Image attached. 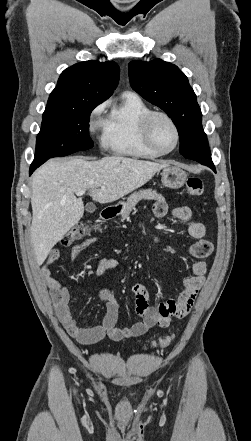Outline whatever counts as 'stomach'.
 I'll use <instances>...</instances> for the list:
<instances>
[{
  "mask_svg": "<svg viewBox=\"0 0 251 441\" xmlns=\"http://www.w3.org/2000/svg\"><path fill=\"white\" fill-rule=\"evenodd\" d=\"M161 176L163 186L171 189L181 188L185 184L187 178L185 171L176 166H168L164 168ZM125 204L126 203H119L117 206L118 209L122 207L124 208Z\"/></svg>",
  "mask_w": 251,
  "mask_h": 441,
  "instance_id": "obj_1",
  "label": "stomach"
}]
</instances>
